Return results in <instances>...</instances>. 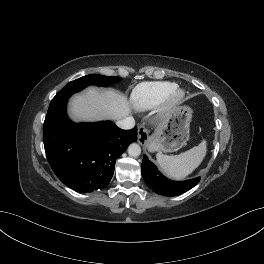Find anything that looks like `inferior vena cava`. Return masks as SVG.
<instances>
[{
    "label": "inferior vena cava",
    "instance_id": "inferior-vena-cava-1",
    "mask_svg": "<svg viewBox=\"0 0 264 264\" xmlns=\"http://www.w3.org/2000/svg\"><path fill=\"white\" fill-rule=\"evenodd\" d=\"M116 125L121 129H132L135 127V120L133 117H125L124 119L118 120Z\"/></svg>",
    "mask_w": 264,
    "mask_h": 264
}]
</instances>
